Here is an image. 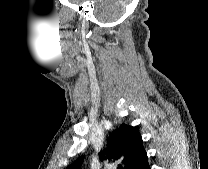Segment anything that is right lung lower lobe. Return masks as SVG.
Listing matches in <instances>:
<instances>
[{
  "label": "right lung lower lobe",
  "mask_w": 208,
  "mask_h": 169,
  "mask_svg": "<svg viewBox=\"0 0 208 169\" xmlns=\"http://www.w3.org/2000/svg\"><path fill=\"white\" fill-rule=\"evenodd\" d=\"M138 169H151L148 163V159H146L140 166Z\"/></svg>",
  "instance_id": "98d812e1"
}]
</instances>
